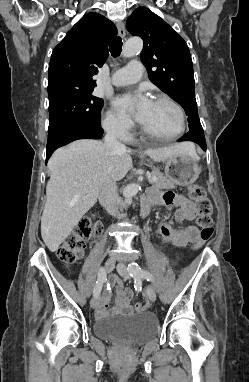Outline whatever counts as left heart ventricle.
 Here are the masks:
<instances>
[{
    "mask_svg": "<svg viewBox=\"0 0 249 382\" xmlns=\"http://www.w3.org/2000/svg\"><path fill=\"white\" fill-rule=\"evenodd\" d=\"M142 125L158 136H172L179 129V118L176 110L165 102H152Z\"/></svg>",
    "mask_w": 249,
    "mask_h": 382,
    "instance_id": "1",
    "label": "left heart ventricle"
}]
</instances>
